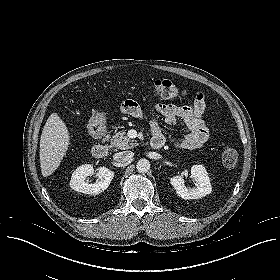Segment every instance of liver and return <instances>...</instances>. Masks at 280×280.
Listing matches in <instances>:
<instances>
[{
    "instance_id": "1",
    "label": "liver",
    "mask_w": 280,
    "mask_h": 280,
    "mask_svg": "<svg viewBox=\"0 0 280 280\" xmlns=\"http://www.w3.org/2000/svg\"><path fill=\"white\" fill-rule=\"evenodd\" d=\"M69 142L70 136L64 121L57 113H52L40 139V167L43 177L50 176L60 166Z\"/></svg>"
}]
</instances>
